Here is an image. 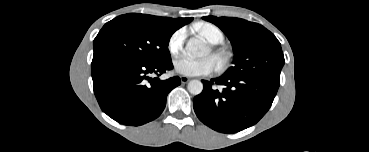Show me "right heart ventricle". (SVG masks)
Listing matches in <instances>:
<instances>
[{"instance_id": "right-heart-ventricle-1", "label": "right heart ventricle", "mask_w": 369, "mask_h": 152, "mask_svg": "<svg viewBox=\"0 0 369 152\" xmlns=\"http://www.w3.org/2000/svg\"><path fill=\"white\" fill-rule=\"evenodd\" d=\"M194 29L201 37L213 44L219 43L223 38L220 29L211 23H199Z\"/></svg>"}]
</instances>
